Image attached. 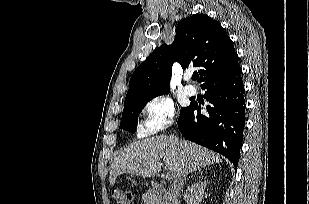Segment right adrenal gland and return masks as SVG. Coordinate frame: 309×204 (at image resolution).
Returning <instances> with one entry per match:
<instances>
[{
  "label": "right adrenal gland",
  "instance_id": "2a0ac1e0",
  "mask_svg": "<svg viewBox=\"0 0 309 204\" xmlns=\"http://www.w3.org/2000/svg\"><path fill=\"white\" fill-rule=\"evenodd\" d=\"M196 174H197V175H198V174H199V175H202V171L199 170V171H198L197 173H195L194 175H196ZM194 175H192V177H193Z\"/></svg>",
  "mask_w": 309,
  "mask_h": 204
}]
</instances>
